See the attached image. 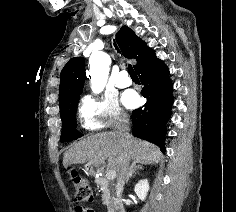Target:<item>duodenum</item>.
I'll list each match as a JSON object with an SVG mask.
<instances>
[{
	"instance_id": "410a0bca",
	"label": "duodenum",
	"mask_w": 236,
	"mask_h": 212,
	"mask_svg": "<svg viewBox=\"0 0 236 212\" xmlns=\"http://www.w3.org/2000/svg\"><path fill=\"white\" fill-rule=\"evenodd\" d=\"M109 212H125V206L121 201H116L111 205Z\"/></svg>"
}]
</instances>
